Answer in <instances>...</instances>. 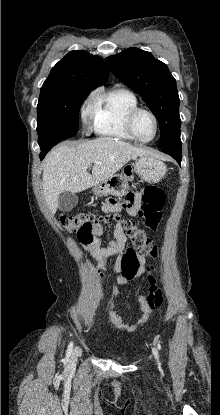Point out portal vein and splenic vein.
<instances>
[{"mask_svg": "<svg viewBox=\"0 0 220 415\" xmlns=\"http://www.w3.org/2000/svg\"><path fill=\"white\" fill-rule=\"evenodd\" d=\"M93 162H94V163H99L98 161H95V160H94Z\"/></svg>", "mask_w": 220, "mask_h": 415, "instance_id": "portal-vein-and-splenic-vein-1", "label": "portal vein and splenic vein"}]
</instances>
